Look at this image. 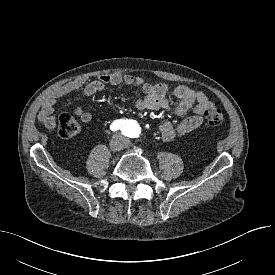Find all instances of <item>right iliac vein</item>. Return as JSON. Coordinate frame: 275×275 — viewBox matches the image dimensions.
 Masks as SVG:
<instances>
[{
	"label": "right iliac vein",
	"mask_w": 275,
	"mask_h": 275,
	"mask_svg": "<svg viewBox=\"0 0 275 275\" xmlns=\"http://www.w3.org/2000/svg\"><path fill=\"white\" fill-rule=\"evenodd\" d=\"M110 147L113 151H119L122 148V142L121 139L116 137L114 139L111 140L110 142Z\"/></svg>",
	"instance_id": "right-iliac-vein-1"
}]
</instances>
